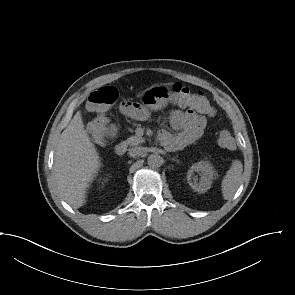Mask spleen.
<instances>
[{
    "mask_svg": "<svg viewBox=\"0 0 295 295\" xmlns=\"http://www.w3.org/2000/svg\"><path fill=\"white\" fill-rule=\"evenodd\" d=\"M242 172L243 165L241 161L234 160L222 180V195L225 200L232 198L237 191L241 181Z\"/></svg>",
    "mask_w": 295,
    "mask_h": 295,
    "instance_id": "spleen-1",
    "label": "spleen"
}]
</instances>
